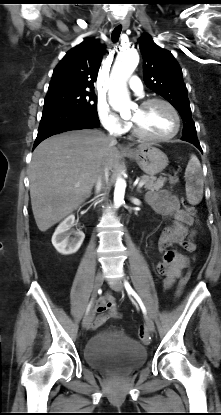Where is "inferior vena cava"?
<instances>
[{
	"mask_svg": "<svg viewBox=\"0 0 221 415\" xmlns=\"http://www.w3.org/2000/svg\"><path fill=\"white\" fill-rule=\"evenodd\" d=\"M111 143H116V139L114 137H111ZM109 179V170L107 166L104 167V169L101 170L99 173L97 179H96V193L98 194L103 188L104 185L108 182Z\"/></svg>",
	"mask_w": 221,
	"mask_h": 415,
	"instance_id": "1",
	"label": "inferior vena cava"
}]
</instances>
